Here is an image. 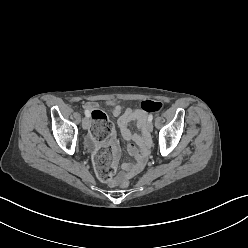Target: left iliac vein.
<instances>
[{"instance_id": "left-iliac-vein-1", "label": "left iliac vein", "mask_w": 248, "mask_h": 248, "mask_svg": "<svg viewBox=\"0 0 248 248\" xmlns=\"http://www.w3.org/2000/svg\"><path fill=\"white\" fill-rule=\"evenodd\" d=\"M147 130H148L149 132H152V130H153V124H152V122H149V123L147 124Z\"/></svg>"}]
</instances>
